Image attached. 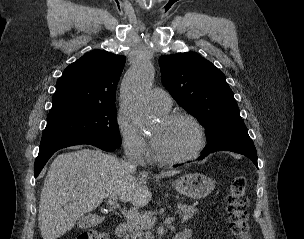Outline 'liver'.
Returning a JSON list of instances; mask_svg holds the SVG:
<instances>
[{
    "instance_id": "liver-1",
    "label": "liver",
    "mask_w": 304,
    "mask_h": 239,
    "mask_svg": "<svg viewBox=\"0 0 304 239\" xmlns=\"http://www.w3.org/2000/svg\"><path fill=\"white\" fill-rule=\"evenodd\" d=\"M177 173L169 170L161 176ZM147 179V172L137 175L126 161L100 150L58 155L49 167L40 195L38 224L43 239L61 237L110 196L135 207L146 206L152 198Z\"/></svg>"
}]
</instances>
